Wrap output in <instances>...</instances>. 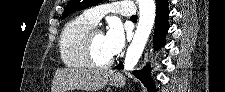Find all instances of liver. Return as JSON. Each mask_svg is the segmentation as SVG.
I'll return each instance as SVG.
<instances>
[{
	"label": "liver",
	"instance_id": "6515ba94",
	"mask_svg": "<svg viewBox=\"0 0 225 92\" xmlns=\"http://www.w3.org/2000/svg\"><path fill=\"white\" fill-rule=\"evenodd\" d=\"M113 72L104 69H57L51 86V92H69L85 90L96 92L107 84Z\"/></svg>",
	"mask_w": 225,
	"mask_h": 92
}]
</instances>
